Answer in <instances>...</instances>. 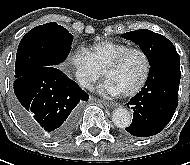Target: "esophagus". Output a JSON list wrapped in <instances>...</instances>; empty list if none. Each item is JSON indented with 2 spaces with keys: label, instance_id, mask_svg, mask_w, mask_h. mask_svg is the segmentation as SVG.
Here are the masks:
<instances>
[{
  "label": "esophagus",
  "instance_id": "esophagus-1",
  "mask_svg": "<svg viewBox=\"0 0 190 165\" xmlns=\"http://www.w3.org/2000/svg\"><path fill=\"white\" fill-rule=\"evenodd\" d=\"M100 102H101L103 105L107 106V107H114V106L117 105V104L114 103V102L105 101V100H101Z\"/></svg>",
  "mask_w": 190,
  "mask_h": 165
}]
</instances>
